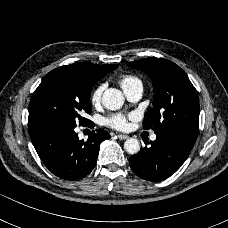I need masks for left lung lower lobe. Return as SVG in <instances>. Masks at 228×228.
Returning a JSON list of instances; mask_svg holds the SVG:
<instances>
[{"label": "left lung lower lobe", "instance_id": "obj_1", "mask_svg": "<svg viewBox=\"0 0 228 228\" xmlns=\"http://www.w3.org/2000/svg\"><path fill=\"white\" fill-rule=\"evenodd\" d=\"M155 141L129 158L134 173L147 181H160L173 175L185 162L196 141L177 133L156 134Z\"/></svg>", "mask_w": 228, "mask_h": 228}]
</instances>
